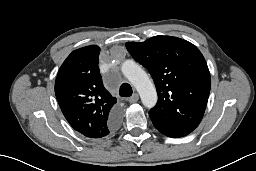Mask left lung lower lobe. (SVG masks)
<instances>
[{
  "label": "left lung lower lobe",
  "mask_w": 256,
  "mask_h": 171,
  "mask_svg": "<svg viewBox=\"0 0 256 171\" xmlns=\"http://www.w3.org/2000/svg\"><path fill=\"white\" fill-rule=\"evenodd\" d=\"M155 127L163 134H165L166 136H169V137H177L175 135H173L172 133H170L169 131H167L165 128H162L160 125H156L155 124Z\"/></svg>",
  "instance_id": "1"
}]
</instances>
